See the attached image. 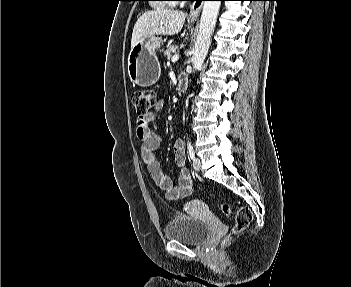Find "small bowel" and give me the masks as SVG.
<instances>
[{
    "label": "small bowel",
    "instance_id": "small-bowel-1",
    "mask_svg": "<svg viewBox=\"0 0 351 287\" xmlns=\"http://www.w3.org/2000/svg\"><path fill=\"white\" fill-rule=\"evenodd\" d=\"M163 101L158 100L154 110L144 118L136 119V136L140 140V154L152 180L164 192L168 200H179L188 197L193 191V182L186 166L185 143L179 139L174 142L175 162L180 168L177 185L161 169L156 150L160 146V136L149 126L161 110Z\"/></svg>",
    "mask_w": 351,
    "mask_h": 287
}]
</instances>
